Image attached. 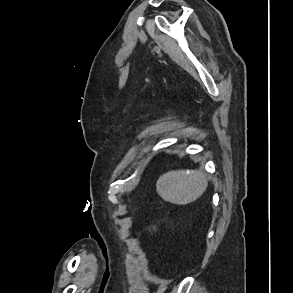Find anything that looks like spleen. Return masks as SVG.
<instances>
[{
	"label": "spleen",
	"instance_id": "3e777b00",
	"mask_svg": "<svg viewBox=\"0 0 293 293\" xmlns=\"http://www.w3.org/2000/svg\"><path fill=\"white\" fill-rule=\"evenodd\" d=\"M207 186L202 170H171L159 177L156 190L163 200L186 205L201 197Z\"/></svg>",
	"mask_w": 293,
	"mask_h": 293
}]
</instances>
